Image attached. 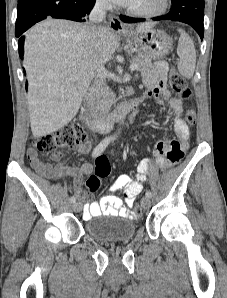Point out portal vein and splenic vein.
Instances as JSON below:
<instances>
[{
	"label": "portal vein and splenic vein",
	"instance_id": "portal-vein-and-splenic-vein-1",
	"mask_svg": "<svg viewBox=\"0 0 227 298\" xmlns=\"http://www.w3.org/2000/svg\"><path fill=\"white\" fill-rule=\"evenodd\" d=\"M136 69H137V64L135 62L131 63V65H130L131 72L135 71Z\"/></svg>",
	"mask_w": 227,
	"mask_h": 298
}]
</instances>
